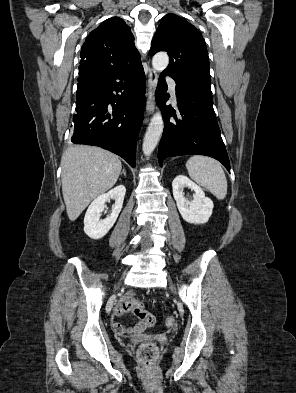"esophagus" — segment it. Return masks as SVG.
Here are the masks:
<instances>
[{
  "label": "esophagus",
  "mask_w": 296,
  "mask_h": 393,
  "mask_svg": "<svg viewBox=\"0 0 296 393\" xmlns=\"http://www.w3.org/2000/svg\"><path fill=\"white\" fill-rule=\"evenodd\" d=\"M158 75L157 72L150 68L148 74V92H147V104L146 112L147 114L153 113L155 109L154 94L157 87Z\"/></svg>",
  "instance_id": "34e87169"
}]
</instances>
